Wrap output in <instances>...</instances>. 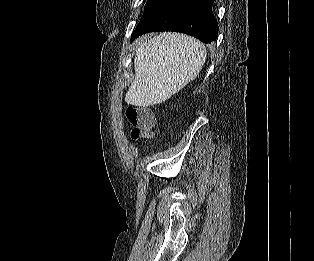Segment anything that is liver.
<instances>
[{
    "instance_id": "liver-1",
    "label": "liver",
    "mask_w": 314,
    "mask_h": 261,
    "mask_svg": "<svg viewBox=\"0 0 314 261\" xmlns=\"http://www.w3.org/2000/svg\"><path fill=\"white\" fill-rule=\"evenodd\" d=\"M206 55L203 43L180 33L140 39L134 58L135 79L125 102L148 107L166 101L197 77Z\"/></svg>"
}]
</instances>
